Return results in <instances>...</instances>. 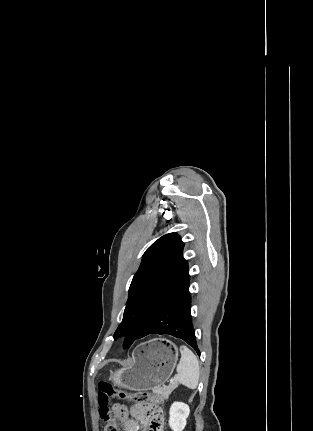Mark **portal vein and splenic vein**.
I'll return each mask as SVG.
<instances>
[{
  "label": "portal vein and splenic vein",
  "mask_w": 313,
  "mask_h": 431,
  "mask_svg": "<svg viewBox=\"0 0 313 431\" xmlns=\"http://www.w3.org/2000/svg\"><path fill=\"white\" fill-rule=\"evenodd\" d=\"M175 380V378L171 379V382H173Z\"/></svg>",
  "instance_id": "portal-vein-and-splenic-vein-1"
}]
</instances>
